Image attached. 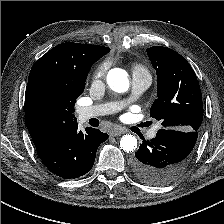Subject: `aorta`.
Instances as JSON below:
<instances>
[{
  "label": "aorta",
  "mask_w": 224,
  "mask_h": 224,
  "mask_svg": "<svg viewBox=\"0 0 224 224\" xmlns=\"http://www.w3.org/2000/svg\"><path fill=\"white\" fill-rule=\"evenodd\" d=\"M109 87L118 93H122L129 88V79L125 70L121 68L111 69L107 74ZM120 147L125 152H132L137 148V139L133 135H124L120 140Z\"/></svg>",
  "instance_id": "aorta-1"
}]
</instances>
